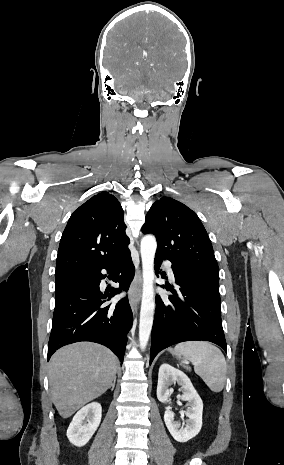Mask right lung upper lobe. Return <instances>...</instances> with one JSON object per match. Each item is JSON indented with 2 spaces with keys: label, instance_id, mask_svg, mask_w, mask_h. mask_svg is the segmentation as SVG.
<instances>
[{
  "label": "right lung upper lobe",
  "instance_id": "1",
  "mask_svg": "<svg viewBox=\"0 0 284 465\" xmlns=\"http://www.w3.org/2000/svg\"><path fill=\"white\" fill-rule=\"evenodd\" d=\"M124 212L119 201L101 192L71 215L56 260V281L94 273L128 249Z\"/></svg>",
  "mask_w": 284,
  "mask_h": 465
}]
</instances>
